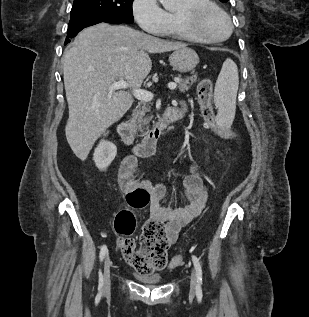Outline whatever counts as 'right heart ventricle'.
<instances>
[{
  "label": "right heart ventricle",
  "mask_w": 309,
  "mask_h": 317,
  "mask_svg": "<svg viewBox=\"0 0 309 317\" xmlns=\"http://www.w3.org/2000/svg\"><path fill=\"white\" fill-rule=\"evenodd\" d=\"M205 1H208V0H182V5L195 4L198 2H205ZM166 13L168 18L167 33L176 38L191 39L180 29L176 19L177 12H166Z\"/></svg>",
  "instance_id": "right-heart-ventricle-1"
}]
</instances>
